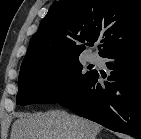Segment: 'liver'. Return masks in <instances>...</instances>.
Segmentation results:
<instances>
[{"label":"liver","instance_id":"obj_1","mask_svg":"<svg viewBox=\"0 0 141 139\" xmlns=\"http://www.w3.org/2000/svg\"><path fill=\"white\" fill-rule=\"evenodd\" d=\"M102 126L63 110L20 113L10 139H96Z\"/></svg>","mask_w":141,"mask_h":139}]
</instances>
